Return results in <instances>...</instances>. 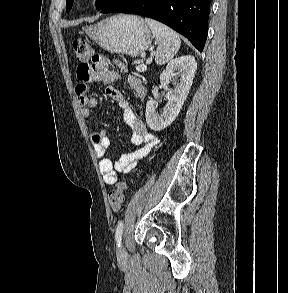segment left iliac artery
Here are the masks:
<instances>
[{
    "label": "left iliac artery",
    "mask_w": 288,
    "mask_h": 293,
    "mask_svg": "<svg viewBox=\"0 0 288 293\" xmlns=\"http://www.w3.org/2000/svg\"><path fill=\"white\" fill-rule=\"evenodd\" d=\"M122 233H123V221L121 220L118 222L116 233H115V239L118 244V247L120 246V243H121Z\"/></svg>",
    "instance_id": "obj_1"
}]
</instances>
